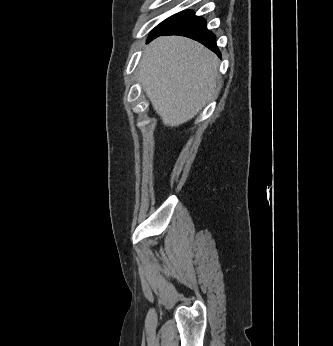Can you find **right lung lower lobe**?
Masks as SVG:
<instances>
[{"mask_svg": "<svg viewBox=\"0 0 333 346\" xmlns=\"http://www.w3.org/2000/svg\"><path fill=\"white\" fill-rule=\"evenodd\" d=\"M160 35H181L189 37L202 43L221 57L216 45L215 35L207 29L206 20L196 16L194 11L186 10L179 13L166 29L150 34L148 42Z\"/></svg>", "mask_w": 333, "mask_h": 346, "instance_id": "98d812e1", "label": "right lung lower lobe"}]
</instances>
